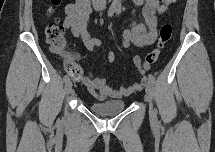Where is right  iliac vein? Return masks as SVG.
<instances>
[{
    "mask_svg": "<svg viewBox=\"0 0 215 152\" xmlns=\"http://www.w3.org/2000/svg\"><path fill=\"white\" fill-rule=\"evenodd\" d=\"M65 90H66L67 95L72 92V82L71 81L66 82Z\"/></svg>",
    "mask_w": 215,
    "mask_h": 152,
    "instance_id": "1",
    "label": "right iliac vein"
}]
</instances>
